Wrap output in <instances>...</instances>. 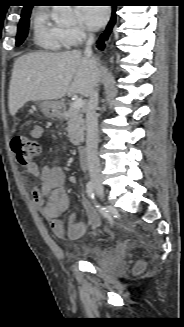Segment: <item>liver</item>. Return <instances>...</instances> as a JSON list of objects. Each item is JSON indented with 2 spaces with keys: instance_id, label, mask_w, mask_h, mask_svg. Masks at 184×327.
Returning a JSON list of instances; mask_svg holds the SVG:
<instances>
[{
  "instance_id": "liver-1",
  "label": "liver",
  "mask_w": 184,
  "mask_h": 327,
  "mask_svg": "<svg viewBox=\"0 0 184 327\" xmlns=\"http://www.w3.org/2000/svg\"><path fill=\"white\" fill-rule=\"evenodd\" d=\"M98 78L96 61L78 50L22 55L13 66L9 112L15 116L29 101H52L74 94L88 97Z\"/></svg>"
}]
</instances>
